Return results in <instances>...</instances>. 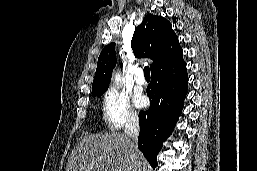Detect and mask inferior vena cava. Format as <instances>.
<instances>
[{"label":"inferior vena cava","mask_w":257,"mask_h":171,"mask_svg":"<svg viewBox=\"0 0 257 171\" xmlns=\"http://www.w3.org/2000/svg\"><path fill=\"white\" fill-rule=\"evenodd\" d=\"M139 130L138 116L136 114H131L125 123L124 133L131 141L130 149L133 162L132 171H141V164L137 158L138 147L136 142L139 136Z\"/></svg>","instance_id":"1"}]
</instances>
